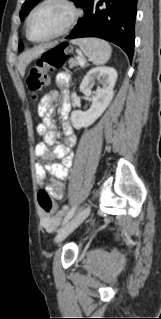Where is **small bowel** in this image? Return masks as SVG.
Wrapping results in <instances>:
<instances>
[{"label":"small bowel","instance_id":"obj_1","mask_svg":"<svg viewBox=\"0 0 161 319\" xmlns=\"http://www.w3.org/2000/svg\"><path fill=\"white\" fill-rule=\"evenodd\" d=\"M57 88L51 89L42 99L38 107V115L43 119V123L37 127V132L43 135V141L35 147V155L42 160L37 166L36 176L41 183L48 172L52 177L51 184L48 187L52 197L55 200H62L66 190V186L61 181L68 178L69 169L71 168L72 156L71 149L76 145V135L67 117L71 111L70 96H69V75L66 72L57 74L55 79ZM59 90L61 91V127L65 137V143L56 144L57 142V127L52 121L54 113L53 103L58 99ZM56 144L53 152H50L48 147ZM54 158L64 159L63 163H45ZM69 207L63 205L58 211L42 212L40 216V224L46 231H54L61 220L64 218Z\"/></svg>","mask_w":161,"mask_h":319}]
</instances>
